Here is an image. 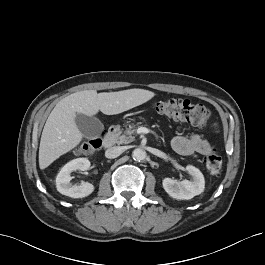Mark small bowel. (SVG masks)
Masks as SVG:
<instances>
[{"label":"small bowel","instance_id":"c3829d8e","mask_svg":"<svg viewBox=\"0 0 265 265\" xmlns=\"http://www.w3.org/2000/svg\"><path fill=\"white\" fill-rule=\"evenodd\" d=\"M171 147L176 153L184 156L195 153L209 155L213 149L211 145L199 135L174 137L171 140Z\"/></svg>","mask_w":265,"mask_h":265}]
</instances>
